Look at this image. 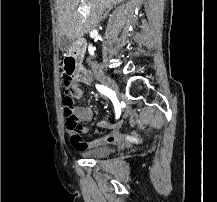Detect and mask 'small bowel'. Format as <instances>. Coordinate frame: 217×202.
I'll use <instances>...</instances> for the list:
<instances>
[{
	"label": "small bowel",
	"mask_w": 217,
	"mask_h": 202,
	"mask_svg": "<svg viewBox=\"0 0 217 202\" xmlns=\"http://www.w3.org/2000/svg\"><path fill=\"white\" fill-rule=\"evenodd\" d=\"M61 90H75L74 99L80 100L83 97V91L79 88L78 84L61 85ZM127 114L131 119H135V114L131 108L128 109ZM75 115L79 122H86L93 118L94 108L92 106H76ZM83 131H71L72 141H84L87 129L82 127ZM121 123L116 122L111 126V133L102 138L94 139L90 142H70V147H86L85 149L94 148L102 145L103 143H115L120 147H127L132 143H141L143 141L142 134L132 132L129 134H121Z\"/></svg>",
	"instance_id": "c3829d8e"
}]
</instances>
